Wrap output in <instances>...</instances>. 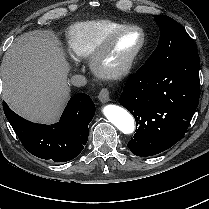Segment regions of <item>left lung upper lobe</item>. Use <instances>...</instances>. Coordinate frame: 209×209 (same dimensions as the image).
I'll return each instance as SVG.
<instances>
[{
    "mask_svg": "<svg viewBox=\"0 0 209 209\" xmlns=\"http://www.w3.org/2000/svg\"><path fill=\"white\" fill-rule=\"evenodd\" d=\"M154 19L160 29L159 44L144 66L161 68L198 54L190 36L174 19L166 15H157Z\"/></svg>",
    "mask_w": 209,
    "mask_h": 209,
    "instance_id": "obj_1",
    "label": "left lung upper lobe"
}]
</instances>
